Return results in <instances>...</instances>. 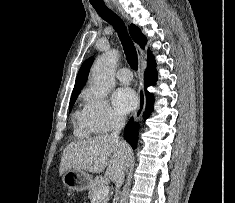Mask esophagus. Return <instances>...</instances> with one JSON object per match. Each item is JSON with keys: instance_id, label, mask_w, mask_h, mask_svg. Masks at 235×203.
<instances>
[{"instance_id": "obj_1", "label": "esophagus", "mask_w": 235, "mask_h": 203, "mask_svg": "<svg viewBox=\"0 0 235 203\" xmlns=\"http://www.w3.org/2000/svg\"><path fill=\"white\" fill-rule=\"evenodd\" d=\"M136 50H137L138 59L141 62L143 58L142 50L140 49L139 46L136 47ZM138 78H139L138 106L133 115L135 121L138 120L142 116V113L145 109V102H146L144 86H143V72H142L141 67L139 68V71H138Z\"/></svg>"}]
</instances>
